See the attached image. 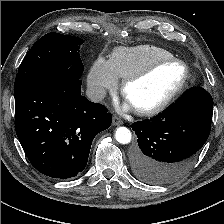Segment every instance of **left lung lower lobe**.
Masks as SVG:
<instances>
[{
	"label": "left lung lower lobe",
	"mask_w": 224,
	"mask_h": 224,
	"mask_svg": "<svg viewBox=\"0 0 224 224\" xmlns=\"http://www.w3.org/2000/svg\"><path fill=\"white\" fill-rule=\"evenodd\" d=\"M212 114L211 95L194 87L157 116L133 123L139 146L133 156L136 177L150 184L180 178L206 142Z\"/></svg>",
	"instance_id": "obj_1"
}]
</instances>
